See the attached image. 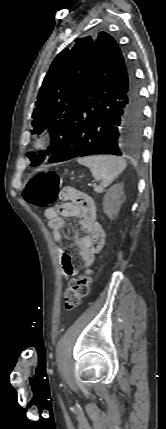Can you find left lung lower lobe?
Returning a JSON list of instances; mask_svg holds the SVG:
<instances>
[{"label":"left lung lower lobe","instance_id":"obj_1","mask_svg":"<svg viewBox=\"0 0 166 429\" xmlns=\"http://www.w3.org/2000/svg\"><path fill=\"white\" fill-rule=\"evenodd\" d=\"M142 131V102L133 69L115 39L101 32L73 117L48 162L93 154H134Z\"/></svg>","mask_w":166,"mask_h":429}]
</instances>
